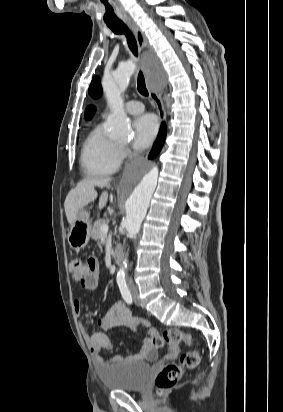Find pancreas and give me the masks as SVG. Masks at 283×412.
I'll return each instance as SVG.
<instances>
[{
    "mask_svg": "<svg viewBox=\"0 0 283 412\" xmlns=\"http://www.w3.org/2000/svg\"><path fill=\"white\" fill-rule=\"evenodd\" d=\"M105 223L106 221L104 219H101L93 224V227L91 229V236L95 241H99L101 239V226Z\"/></svg>",
    "mask_w": 283,
    "mask_h": 412,
    "instance_id": "pancreas-1",
    "label": "pancreas"
}]
</instances>
